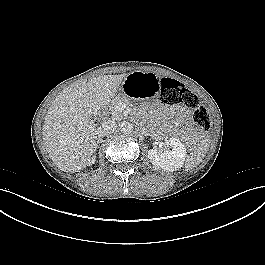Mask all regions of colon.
Masks as SVG:
<instances>
[{
    "mask_svg": "<svg viewBox=\"0 0 265 265\" xmlns=\"http://www.w3.org/2000/svg\"><path fill=\"white\" fill-rule=\"evenodd\" d=\"M161 99L167 106L184 105L194 109L193 121L203 131L211 127L208 109L200 104V101L192 91L180 82L171 78H162L160 81Z\"/></svg>",
    "mask_w": 265,
    "mask_h": 265,
    "instance_id": "1",
    "label": "colon"
}]
</instances>
